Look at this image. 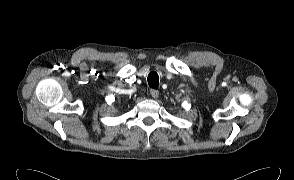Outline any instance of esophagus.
<instances>
[{
  "label": "esophagus",
  "instance_id": "obj_1",
  "mask_svg": "<svg viewBox=\"0 0 294 180\" xmlns=\"http://www.w3.org/2000/svg\"><path fill=\"white\" fill-rule=\"evenodd\" d=\"M150 95L153 97V98H158L159 97V91L156 90V89H151L150 90Z\"/></svg>",
  "mask_w": 294,
  "mask_h": 180
}]
</instances>
